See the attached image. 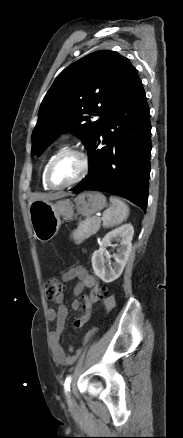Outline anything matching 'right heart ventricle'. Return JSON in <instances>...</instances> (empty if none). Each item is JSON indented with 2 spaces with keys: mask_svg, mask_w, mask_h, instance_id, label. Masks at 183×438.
<instances>
[{
  "mask_svg": "<svg viewBox=\"0 0 183 438\" xmlns=\"http://www.w3.org/2000/svg\"><path fill=\"white\" fill-rule=\"evenodd\" d=\"M63 149H62V147H59L58 149H57V151L56 152H54L53 154H51L49 157H48V159H47V161L45 162V165H44V167H43V169H42V172H41V179H42V185H43V187H44V189H46V190H48V189H50L49 188V186L46 184V182H45V170H46V167H47V165H48V163H49V161L58 153V152H60V151H62Z\"/></svg>",
  "mask_w": 183,
  "mask_h": 438,
  "instance_id": "obj_1",
  "label": "right heart ventricle"
}]
</instances>
